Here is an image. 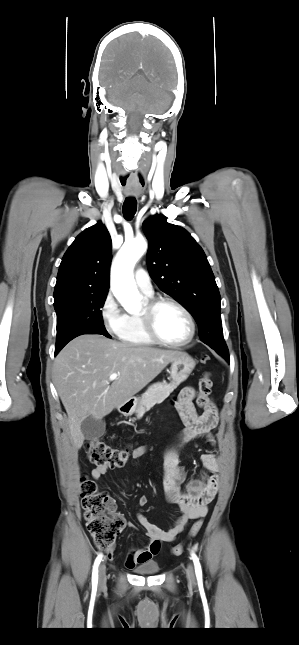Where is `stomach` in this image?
<instances>
[{
    "mask_svg": "<svg viewBox=\"0 0 299 645\" xmlns=\"http://www.w3.org/2000/svg\"><path fill=\"white\" fill-rule=\"evenodd\" d=\"M196 366L195 360L187 353H183L171 361V378L174 383L180 384L184 382L192 373ZM140 404L139 398H131L126 403L120 406V411L124 415H132Z\"/></svg>",
    "mask_w": 299,
    "mask_h": 645,
    "instance_id": "1",
    "label": "stomach"
}]
</instances>
